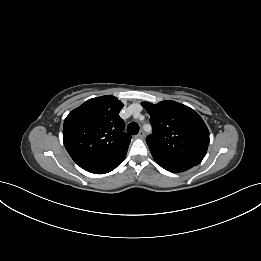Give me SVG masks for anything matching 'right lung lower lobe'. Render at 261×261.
Segmentation results:
<instances>
[{
	"mask_svg": "<svg viewBox=\"0 0 261 261\" xmlns=\"http://www.w3.org/2000/svg\"><path fill=\"white\" fill-rule=\"evenodd\" d=\"M125 156L126 154L116 159L88 160L77 164L88 172L104 174L114 170L118 165H120L124 161Z\"/></svg>",
	"mask_w": 261,
	"mask_h": 261,
	"instance_id": "98d812e1",
	"label": "right lung lower lobe"
}]
</instances>
